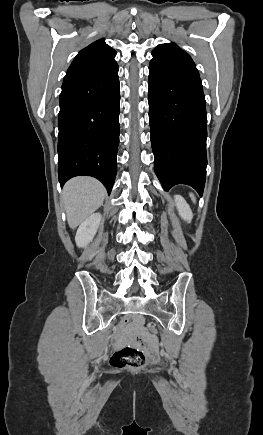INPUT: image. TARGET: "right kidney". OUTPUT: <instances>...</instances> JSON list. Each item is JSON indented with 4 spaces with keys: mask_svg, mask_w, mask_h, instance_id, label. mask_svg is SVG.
Wrapping results in <instances>:
<instances>
[{
    "mask_svg": "<svg viewBox=\"0 0 263 435\" xmlns=\"http://www.w3.org/2000/svg\"><path fill=\"white\" fill-rule=\"evenodd\" d=\"M100 222L101 214L95 213L80 224L75 236V242L78 247H86L92 241Z\"/></svg>",
    "mask_w": 263,
    "mask_h": 435,
    "instance_id": "ca27d5eb",
    "label": "right kidney"
}]
</instances>
